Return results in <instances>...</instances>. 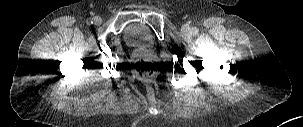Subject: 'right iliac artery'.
I'll use <instances>...</instances> for the list:
<instances>
[{
  "label": "right iliac artery",
  "mask_w": 303,
  "mask_h": 127,
  "mask_svg": "<svg viewBox=\"0 0 303 127\" xmlns=\"http://www.w3.org/2000/svg\"><path fill=\"white\" fill-rule=\"evenodd\" d=\"M86 23H87L88 25H90V24L93 23V20H92V19H87V20H86Z\"/></svg>",
  "instance_id": "right-iliac-artery-1"
}]
</instances>
